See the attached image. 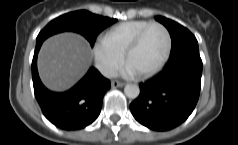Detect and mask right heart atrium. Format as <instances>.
Instances as JSON below:
<instances>
[{
  "mask_svg": "<svg viewBox=\"0 0 238 145\" xmlns=\"http://www.w3.org/2000/svg\"><path fill=\"white\" fill-rule=\"evenodd\" d=\"M93 55L96 67L106 77H112L124 60V54L110 45L104 37L96 39Z\"/></svg>",
  "mask_w": 238,
  "mask_h": 145,
  "instance_id": "1",
  "label": "right heart atrium"
}]
</instances>
